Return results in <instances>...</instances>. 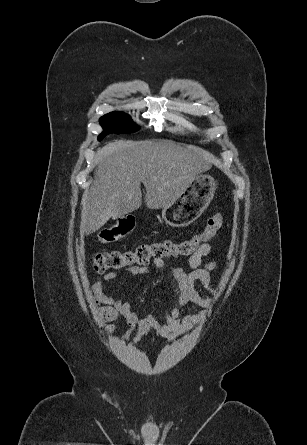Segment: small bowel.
<instances>
[{
	"label": "small bowel",
	"mask_w": 307,
	"mask_h": 445,
	"mask_svg": "<svg viewBox=\"0 0 307 445\" xmlns=\"http://www.w3.org/2000/svg\"><path fill=\"white\" fill-rule=\"evenodd\" d=\"M211 250L212 247L209 243L202 244L188 260L190 271H186L178 266L169 268L178 285L179 297L177 305L171 309L163 322L158 321L152 314L138 317L132 303L122 301L120 298L104 292V284L118 278L116 272H109L103 278H97L93 284V291L96 295V302L101 305L98 309L101 320L110 323L121 316L127 326L125 333L121 337L122 340H128L133 333H136L135 339L139 340L153 329L159 336L170 341L190 332L203 320L204 311L181 316L184 307L189 303H193L203 309H207L211 304L209 299L199 293L195 284L200 283L207 291L213 294L217 291L210 275V272L217 267V264L214 261L204 262V258L210 254ZM153 266L163 269L167 267V263L163 259H155ZM127 272L132 276H140L148 273L149 270L147 267L133 266Z\"/></svg>",
	"instance_id": "small-bowel-1"
}]
</instances>
